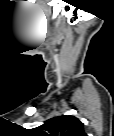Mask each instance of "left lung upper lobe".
<instances>
[{
	"label": "left lung upper lobe",
	"mask_w": 114,
	"mask_h": 136,
	"mask_svg": "<svg viewBox=\"0 0 114 136\" xmlns=\"http://www.w3.org/2000/svg\"><path fill=\"white\" fill-rule=\"evenodd\" d=\"M37 136H84L83 123L75 116L51 118L34 129Z\"/></svg>",
	"instance_id": "5c2ea615"
}]
</instances>
